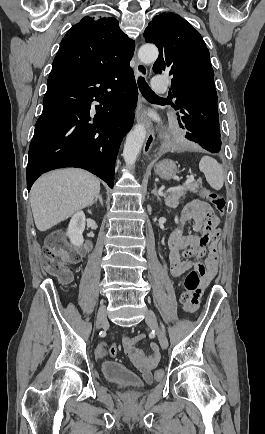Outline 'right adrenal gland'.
<instances>
[{
  "mask_svg": "<svg viewBox=\"0 0 265 434\" xmlns=\"http://www.w3.org/2000/svg\"><path fill=\"white\" fill-rule=\"evenodd\" d=\"M97 202H99V204H101V206H103V198H102V196H100V194H98V196H95V198L93 200V204H97Z\"/></svg>",
  "mask_w": 265,
  "mask_h": 434,
  "instance_id": "1",
  "label": "right adrenal gland"
}]
</instances>
